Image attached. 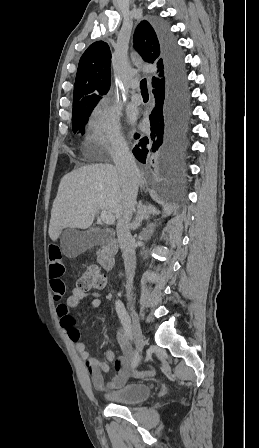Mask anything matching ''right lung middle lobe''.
Wrapping results in <instances>:
<instances>
[{
  "mask_svg": "<svg viewBox=\"0 0 259 448\" xmlns=\"http://www.w3.org/2000/svg\"><path fill=\"white\" fill-rule=\"evenodd\" d=\"M93 109L94 107H89L72 112V128L74 133L80 132L84 134L85 124L88 122V118Z\"/></svg>",
  "mask_w": 259,
  "mask_h": 448,
  "instance_id": "dd1d6c3e",
  "label": "right lung middle lobe"
}]
</instances>
